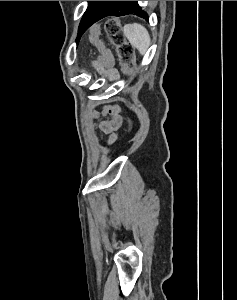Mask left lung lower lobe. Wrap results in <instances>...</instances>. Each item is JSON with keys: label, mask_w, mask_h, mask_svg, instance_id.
I'll use <instances>...</instances> for the list:
<instances>
[{"label": "left lung lower lobe", "mask_w": 237, "mask_h": 300, "mask_svg": "<svg viewBox=\"0 0 237 300\" xmlns=\"http://www.w3.org/2000/svg\"><path fill=\"white\" fill-rule=\"evenodd\" d=\"M127 14H133V12L127 7L126 1H109L98 17L90 23V26L106 16H122Z\"/></svg>", "instance_id": "obj_1"}]
</instances>
